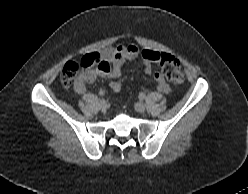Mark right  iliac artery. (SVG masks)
Here are the masks:
<instances>
[{
    "label": "right iliac artery",
    "instance_id": "82829eb1",
    "mask_svg": "<svg viewBox=\"0 0 248 194\" xmlns=\"http://www.w3.org/2000/svg\"><path fill=\"white\" fill-rule=\"evenodd\" d=\"M100 94H102V93H100ZM101 101H103V99H100V100H99V102H101Z\"/></svg>",
    "mask_w": 248,
    "mask_h": 194
}]
</instances>
